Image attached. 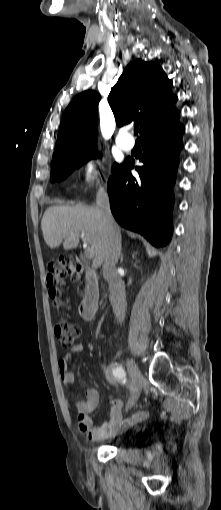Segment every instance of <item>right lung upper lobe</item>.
Listing matches in <instances>:
<instances>
[{"label": "right lung upper lobe", "instance_id": "right-lung-upper-lobe-1", "mask_svg": "<svg viewBox=\"0 0 221 510\" xmlns=\"http://www.w3.org/2000/svg\"><path fill=\"white\" fill-rule=\"evenodd\" d=\"M172 85L157 63L141 59L129 63L108 97L116 124L134 122L140 125L142 136L177 120L178 97L171 92ZM99 100L98 93L85 91L69 104L63 113L53 159L76 148L94 146Z\"/></svg>", "mask_w": 221, "mask_h": 510}]
</instances>
